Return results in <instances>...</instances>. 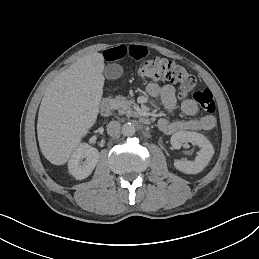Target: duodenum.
<instances>
[{"label": "duodenum", "mask_w": 259, "mask_h": 259, "mask_svg": "<svg viewBox=\"0 0 259 259\" xmlns=\"http://www.w3.org/2000/svg\"><path fill=\"white\" fill-rule=\"evenodd\" d=\"M99 110L103 116H109L114 110V102L111 98H103L99 104ZM141 122L149 125L152 123V119L149 117H142Z\"/></svg>", "instance_id": "1"}]
</instances>
